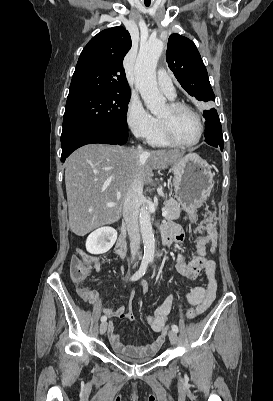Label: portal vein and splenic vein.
Here are the masks:
<instances>
[{
	"instance_id": "portal-vein-and-splenic-vein-1",
	"label": "portal vein and splenic vein",
	"mask_w": 273,
	"mask_h": 401,
	"mask_svg": "<svg viewBox=\"0 0 273 401\" xmlns=\"http://www.w3.org/2000/svg\"><path fill=\"white\" fill-rule=\"evenodd\" d=\"M106 207H116V203H106ZM161 212H162V217H166V215H167V206L166 205L162 206Z\"/></svg>"
}]
</instances>
